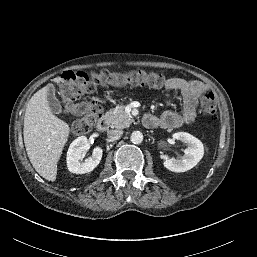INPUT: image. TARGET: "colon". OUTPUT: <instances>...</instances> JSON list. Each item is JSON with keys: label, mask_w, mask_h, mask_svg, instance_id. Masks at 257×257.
<instances>
[{"label": "colon", "mask_w": 257, "mask_h": 257, "mask_svg": "<svg viewBox=\"0 0 257 257\" xmlns=\"http://www.w3.org/2000/svg\"><path fill=\"white\" fill-rule=\"evenodd\" d=\"M61 78L64 111L77 116L71 128L72 133L75 135L90 132L102 117V110L98 104L81 100L84 95L92 93L97 86L148 85L160 88L168 80L161 73L145 70H135L129 73H115L108 70L90 73L68 71ZM200 106L203 117L209 120L216 119V101L212 92L203 91L201 93Z\"/></svg>", "instance_id": "1"}]
</instances>
